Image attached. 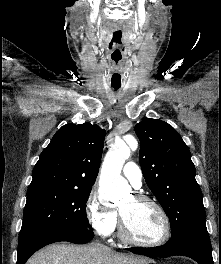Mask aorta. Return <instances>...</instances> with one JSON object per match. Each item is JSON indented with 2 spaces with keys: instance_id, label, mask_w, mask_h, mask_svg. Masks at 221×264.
I'll return each mask as SVG.
<instances>
[{
  "instance_id": "1",
  "label": "aorta",
  "mask_w": 221,
  "mask_h": 264,
  "mask_svg": "<svg viewBox=\"0 0 221 264\" xmlns=\"http://www.w3.org/2000/svg\"><path fill=\"white\" fill-rule=\"evenodd\" d=\"M137 147L138 142L132 137L129 145L124 141H120L113 150L107 153L99 179V192L102 201L117 204L129 190L128 182L121 176V170L125 160L130 157V148L136 149Z\"/></svg>"
}]
</instances>
